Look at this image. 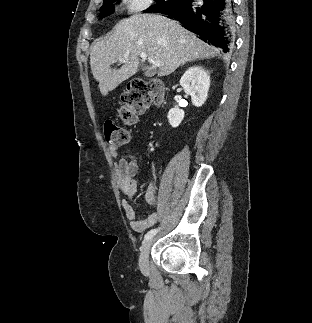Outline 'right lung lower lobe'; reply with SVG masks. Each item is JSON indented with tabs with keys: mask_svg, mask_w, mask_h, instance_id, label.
I'll list each match as a JSON object with an SVG mask.
<instances>
[{
	"mask_svg": "<svg viewBox=\"0 0 312 323\" xmlns=\"http://www.w3.org/2000/svg\"><path fill=\"white\" fill-rule=\"evenodd\" d=\"M196 1L180 0L172 8L162 9L158 13L179 21L184 28L224 53L232 51L235 30L233 0Z\"/></svg>",
	"mask_w": 312,
	"mask_h": 323,
	"instance_id": "obj_1",
	"label": "right lung lower lobe"
}]
</instances>
